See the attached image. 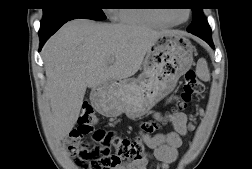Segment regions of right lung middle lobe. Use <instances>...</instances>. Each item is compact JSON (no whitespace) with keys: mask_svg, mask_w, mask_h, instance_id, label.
Wrapping results in <instances>:
<instances>
[{"mask_svg":"<svg viewBox=\"0 0 252 169\" xmlns=\"http://www.w3.org/2000/svg\"><path fill=\"white\" fill-rule=\"evenodd\" d=\"M103 0H45L40 27L76 18L105 20Z\"/></svg>","mask_w":252,"mask_h":169,"instance_id":"dd1d6c3e","label":"right lung middle lobe"}]
</instances>
